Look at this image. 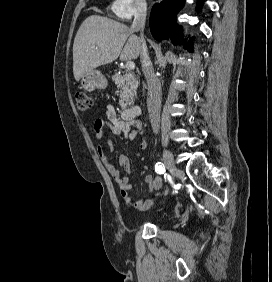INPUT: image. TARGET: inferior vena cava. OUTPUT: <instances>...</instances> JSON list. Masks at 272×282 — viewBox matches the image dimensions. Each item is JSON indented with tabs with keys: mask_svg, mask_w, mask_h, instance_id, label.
<instances>
[{
	"mask_svg": "<svg viewBox=\"0 0 272 282\" xmlns=\"http://www.w3.org/2000/svg\"><path fill=\"white\" fill-rule=\"evenodd\" d=\"M147 15V5L144 1H139L136 6V10L134 13V20L131 25V30L133 32L140 31L139 40L141 42V65L142 71L147 81L148 86V98H147V106L150 117L151 126L154 133L159 132L160 128V110H161V83L156 77L152 63L150 61L146 42L143 37V29L145 26V20Z\"/></svg>",
	"mask_w": 272,
	"mask_h": 282,
	"instance_id": "inferior-vena-cava-1",
	"label": "inferior vena cava"
}]
</instances>
